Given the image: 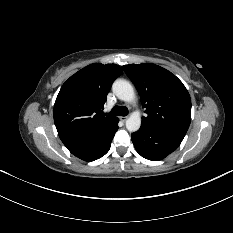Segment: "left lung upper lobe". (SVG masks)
Instances as JSON below:
<instances>
[{"mask_svg":"<svg viewBox=\"0 0 233 233\" xmlns=\"http://www.w3.org/2000/svg\"><path fill=\"white\" fill-rule=\"evenodd\" d=\"M124 71L135 84L147 117L142 124L185 136L191 120V99L183 83L152 64H130Z\"/></svg>","mask_w":233,"mask_h":233,"instance_id":"5c2ea615","label":"left lung upper lobe"}]
</instances>
